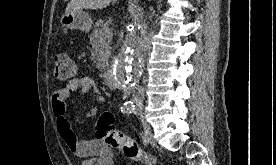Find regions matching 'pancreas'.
I'll use <instances>...</instances> for the list:
<instances>
[{
  "instance_id": "cf45deb5",
  "label": "pancreas",
  "mask_w": 276,
  "mask_h": 165,
  "mask_svg": "<svg viewBox=\"0 0 276 165\" xmlns=\"http://www.w3.org/2000/svg\"><path fill=\"white\" fill-rule=\"evenodd\" d=\"M101 28H94L92 34L89 36V43L91 45V53L96 68L99 71L106 70L111 56V40L112 37H105L101 34Z\"/></svg>"
}]
</instances>
